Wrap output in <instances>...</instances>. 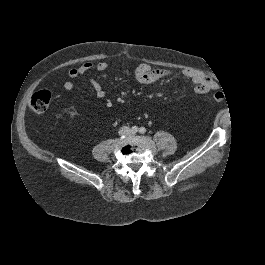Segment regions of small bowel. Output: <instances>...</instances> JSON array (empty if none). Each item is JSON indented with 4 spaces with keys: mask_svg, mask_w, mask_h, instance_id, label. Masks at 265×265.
I'll return each mask as SVG.
<instances>
[{
    "mask_svg": "<svg viewBox=\"0 0 265 265\" xmlns=\"http://www.w3.org/2000/svg\"><path fill=\"white\" fill-rule=\"evenodd\" d=\"M108 67L109 64L105 61L99 62L97 64L86 62L78 67L70 69L69 76L72 79H75L93 69H96L99 72H104L108 69ZM171 74L172 72L170 70L154 69L144 63L137 65L134 69L135 79L139 84L142 85H149L155 83L156 81L162 78L170 76ZM182 75L185 78L190 79L195 84L194 90L198 94H206L218 88L217 83L203 73L193 70H184L182 72ZM89 83L92 89L94 90L96 97L98 99H103L105 97V91L103 90L100 83L97 82L95 79H89ZM63 86L65 90L71 91L74 89L75 84L73 83V81L68 80L64 83Z\"/></svg>",
    "mask_w": 265,
    "mask_h": 265,
    "instance_id": "obj_1",
    "label": "small bowel"
}]
</instances>
